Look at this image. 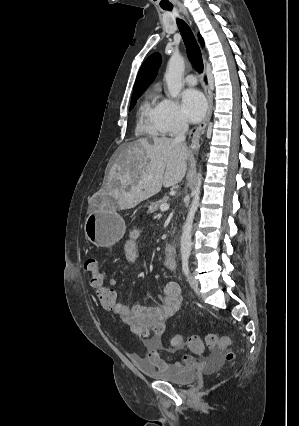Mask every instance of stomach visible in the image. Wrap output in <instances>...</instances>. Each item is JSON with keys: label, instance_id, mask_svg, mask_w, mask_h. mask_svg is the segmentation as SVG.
Masks as SVG:
<instances>
[{"label": "stomach", "instance_id": "1", "mask_svg": "<svg viewBox=\"0 0 299 426\" xmlns=\"http://www.w3.org/2000/svg\"><path fill=\"white\" fill-rule=\"evenodd\" d=\"M125 222L115 208L105 206L89 213L84 231L87 239L97 247L109 248L124 236Z\"/></svg>", "mask_w": 299, "mask_h": 426}]
</instances>
